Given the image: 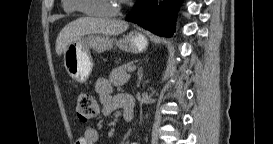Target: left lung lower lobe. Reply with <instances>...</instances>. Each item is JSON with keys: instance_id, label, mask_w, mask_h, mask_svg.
<instances>
[{"instance_id": "left-lung-lower-lobe-1", "label": "left lung lower lobe", "mask_w": 273, "mask_h": 144, "mask_svg": "<svg viewBox=\"0 0 273 144\" xmlns=\"http://www.w3.org/2000/svg\"><path fill=\"white\" fill-rule=\"evenodd\" d=\"M181 0H137V4L126 16L127 21L160 36L170 37L175 30L176 10Z\"/></svg>"}]
</instances>
